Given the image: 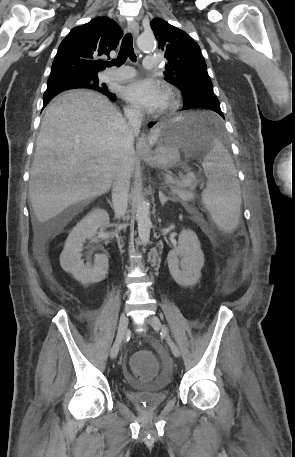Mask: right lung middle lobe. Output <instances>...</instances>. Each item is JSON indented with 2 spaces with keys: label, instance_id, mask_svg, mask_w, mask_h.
Returning a JSON list of instances; mask_svg holds the SVG:
<instances>
[{
  "label": "right lung middle lobe",
  "instance_id": "obj_1",
  "mask_svg": "<svg viewBox=\"0 0 295 457\" xmlns=\"http://www.w3.org/2000/svg\"><path fill=\"white\" fill-rule=\"evenodd\" d=\"M82 83L85 87H92V88H105V85H99L98 77L97 76H92V77H87L82 80ZM64 90H55V89H47L46 92L44 93L43 99H51L58 93L62 92Z\"/></svg>",
  "mask_w": 295,
  "mask_h": 457
}]
</instances>
